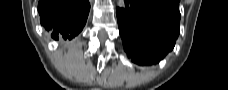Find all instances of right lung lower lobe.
I'll return each mask as SVG.
<instances>
[{
    "label": "right lung lower lobe",
    "instance_id": "1",
    "mask_svg": "<svg viewBox=\"0 0 228 90\" xmlns=\"http://www.w3.org/2000/svg\"><path fill=\"white\" fill-rule=\"evenodd\" d=\"M90 4L88 0H39L40 22L51 36L71 40L83 29Z\"/></svg>",
    "mask_w": 228,
    "mask_h": 90
}]
</instances>
